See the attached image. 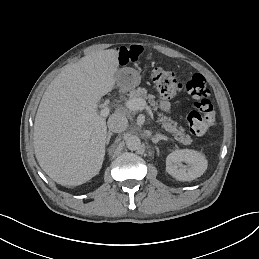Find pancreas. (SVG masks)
I'll return each mask as SVG.
<instances>
[{"instance_id": "pancreas-1", "label": "pancreas", "mask_w": 259, "mask_h": 259, "mask_svg": "<svg viewBox=\"0 0 259 259\" xmlns=\"http://www.w3.org/2000/svg\"><path fill=\"white\" fill-rule=\"evenodd\" d=\"M130 99L134 98H142L147 99L149 104L153 107V110L158 109V102L155 101V96L151 94H147V90L145 88H137L135 90H132L129 94ZM158 120L157 122L162 124V128L165 129V131L173 134L176 140L180 141L181 143L187 145L192 142V139L189 135H186L184 133V128L179 127L177 128V122H174L171 120V118L165 116L163 113H158Z\"/></svg>"}]
</instances>
